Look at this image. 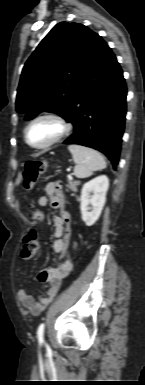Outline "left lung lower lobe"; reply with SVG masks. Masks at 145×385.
Wrapping results in <instances>:
<instances>
[{
  "instance_id": "left-lung-lower-lobe-1",
  "label": "left lung lower lobe",
  "mask_w": 145,
  "mask_h": 385,
  "mask_svg": "<svg viewBox=\"0 0 145 385\" xmlns=\"http://www.w3.org/2000/svg\"><path fill=\"white\" fill-rule=\"evenodd\" d=\"M126 96L122 69L111 48L98 35L69 120L74 133L64 143L99 150L116 169L125 126Z\"/></svg>"
}]
</instances>
